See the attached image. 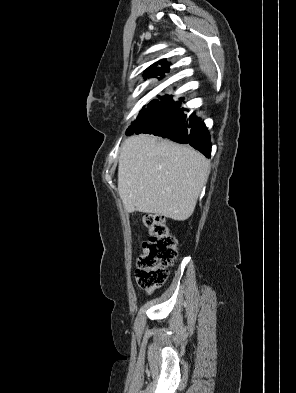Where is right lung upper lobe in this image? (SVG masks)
<instances>
[{
	"instance_id": "obj_1",
	"label": "right lung upper lobe",
	"mask_w": 296,
	"mask_h": 393,
	"mask_svg": "<svg viewBox=\"0 0 296 393\" xmlns=\"http://www.w3.org/2000/svg\"><path fill=\"white\" fill-rule=\"evenodd\" d=\"M160 64L162 67H158L157 65ZM170 63L166 62V59H162L150 67L147 68V70L144 73L145 78H151V77H157L158 75L164 77L165 72H169V65ZM160 79V78H159Z\"/></svg>"
}]
</instances>
